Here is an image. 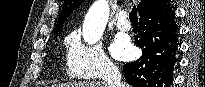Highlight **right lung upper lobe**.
Masks as SVG:
<instances>
[{
    "label": "right lung upper lobe",
    "mask_w": 205,
    "mask_h": 87,
    "mask_svg": "<svg viewBox=\"0 0 205 87\" xmlns=\"http://www.w3.org/2000/svg\"><path fill=\"white\" fill-rule=\"evenodd\" d=\"M159 0H141L140 4L137 7V10L139 12V15L143 13L145 10L149 9L151 6H153L155 3H157ZM84 0H65L62 11L60 13L57 25L55 29L53 30L54 33H57L67 17L70 15V13L78 7Z\"/></svg>",
    "instance_id": "cb5924a9"
}]
</instances>
